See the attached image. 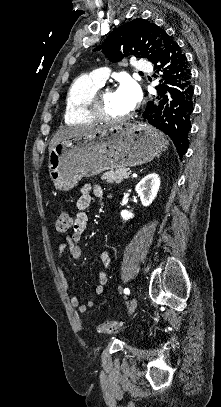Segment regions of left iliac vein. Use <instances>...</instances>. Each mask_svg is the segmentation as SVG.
I'll return each mask as SVG.
<instances>
[{
    "instance_id": "1",
    "label": "left iliac vein",
    "mask_w": 221,
    "mask_h": 407,
    "mask_svg": "<svg viewBox=\"0 0 221 407\" xmlns=\"http://www.w3.org/2000/svg\"><path fill=\"white\" fill-rule=\"evenodd\" d=\"M136 307H137V300H136V298H133L128 307L129 315H131L135 311Z\"/></svg>"
}]
</instances>
